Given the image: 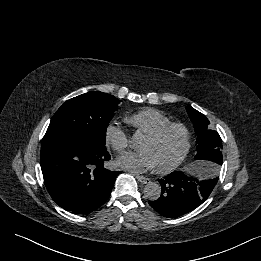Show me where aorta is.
I'll use <instances>...</instances> for the list:
<instances>
[{
  "label": "aorta",
  "mask_w": 261,
  "mask_h": 261,
  "mask_svg": "<svg viewBox=\"0 0 261 261\" xmlns=\"http://www.w3.org/2000/svg\"><path fill=\"white\" fill-rule=\"evenodd\" d=\"M142 139V135L139 132H136L132 137V147H136L140 140ZM144 194L149 200H157L161 195V186L156 182H149L144 187Z\"/></svg>",
  "instance_id": "1"
}]
</instances>
